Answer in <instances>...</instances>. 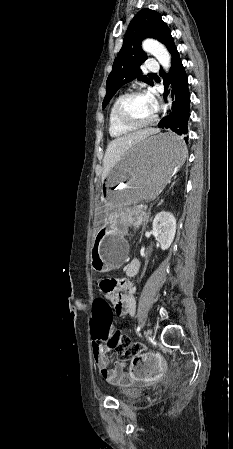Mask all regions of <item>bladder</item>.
I'll return each instance as SVG.
<instances>
[{
  "mask_svg": "<svg viewBox=\"0 0 233 449\" xmlns=\"http://www.w3.org/2000/svg\"><path fill=\"white\" fill-rule=\"evenodd\" d=\"M138 392L134 391L130 387H123L121 390V400L124 402H131L139 399Z\"/></svg>",
  "mask_w": 233,
  "mask_h": 449,
  "instance_id": "31cf9c89",
  "label": "bladder"
}]
</instances>
